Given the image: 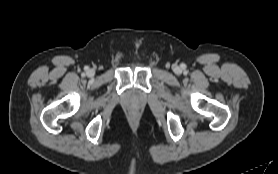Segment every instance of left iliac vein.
<instances>
[{
	"label": "left iliac vein",
	"instance_id": "left-iliac-vein-1",
	"mask_svg": "<svg viewBox=\"0 0 278 174\" xmlns=\"http://www.w3.org/2000/svg\"><path fill=\"white\" fill-rule=\"evenodd\" d=\"M174 72L177 74L181 73L180 67H178V66L174 67Z\"/></svg>",
	"mask_w": 278,
	"mask_h": 174
}]
</instances>
